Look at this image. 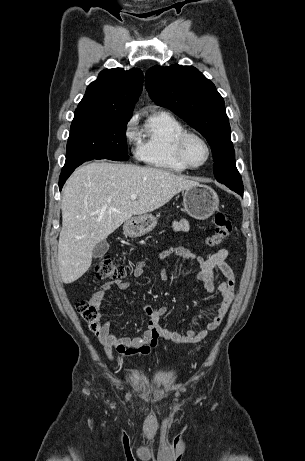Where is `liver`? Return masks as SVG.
<instances>
[{
    "mask_svg": "<svg viewBox=\"0 0 305 461\" xmlns=\"http://www.w3.org/2000/svg\"><path fill=\"white\" fill-rule=\"evenodd\" d=\"M199 183L171 172L131 164L93 162L67 180L61 203L58 265L66 284L91 266L96 244L133 215L156 210ZM137 194L131 200V194Z\"/></svg>",
    "mask_w": 305,
    "mask_h": 461,
    "instance_id": "1",
    "label": "liver"
}]
</instances>
